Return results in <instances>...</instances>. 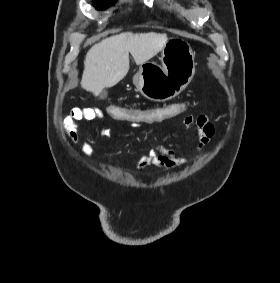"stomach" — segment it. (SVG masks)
<instances>
[{"label": "stomach", "mask_w": 280, "mask_h": 283, "mask_svg": "<svg viewBox=\"0 0 280 283\" xmlns=\"http://www.w3.org/2000/svg\"><path fill=\"white\" fill-rule=\"evenodd\" d=\"M161 65L146 62L133 77L137 90L147 99L165 101L177 96L195 74V58L190 44L179 37L166 38Z\"/></svg>", "instance_id": "obj_1"}]
</instances>
